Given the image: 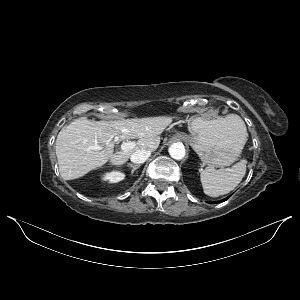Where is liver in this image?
<instances>
[{"label":"liver","instance_id":"6515ba94","mask_svg":"<svg viewBox=\"0 0 300 300\" xmlns=\"http://www.w3.org/2000/svg\"><path fill=\"white\" fill-rule=\"evenodd\" d=\"M171 123L169 117L135 118L119 121L73 120L56 139V156L63 179L80 178L107 162L121 166L139 149L155 151L159 135ZM138 139L129 151L113 152L114 143Z\"/></svg>","mask_w":300,"mask_h":300}]
</instances>
